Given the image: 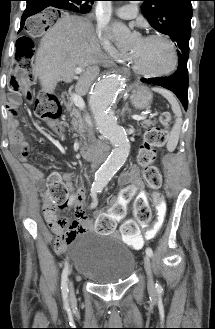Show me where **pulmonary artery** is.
Wrapping results in <instances>:
<instances>
[{"label": "pulmonary artery", "mask_w": 215, "mask_h": 329, "mask_svg": "<svg viewBox=\"0 0 215 329\" xmlns=\"http://www.w3.org/2000/svg\"><path fill=\"white\" fill-rule=\"evenodd\" d=\"M138 7L135 4L128 3L118 7L115 12L122 19H132L138 14Z\"/></svg>", "instance_id": "pulmonary-artery-1"}]
</instances>
